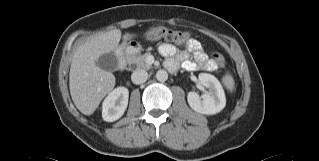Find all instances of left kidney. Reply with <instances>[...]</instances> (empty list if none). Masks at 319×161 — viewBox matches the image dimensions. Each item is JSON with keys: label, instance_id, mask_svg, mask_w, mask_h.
Returning <instances> with one entry per match:
<instances>
[{"label": "left kidney", "instance_id": "obj_1", "mask_svg": "<svg viewBox=\"0 0 319 161\" xmlns=\"http://www.w3.org/2000/svg\"><path fill=\"white\" fill-rule=\"evenodd\" d=\"M201 86L209 89L199 96L196 92H189L187 101L190 107L201 114L213 115L219 113L226 105L223 87L216 77L211 74L201 73L198 76Z\"/></svg>", "mask_w": 319, "mask_h": 161}]
</instances>
